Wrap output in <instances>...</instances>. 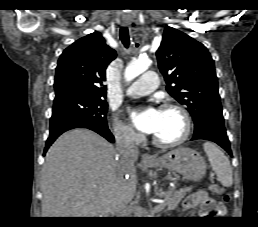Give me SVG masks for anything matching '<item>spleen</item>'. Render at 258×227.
I'll list each match as a JSON object with an SVG mask.
<instances>
[{
	"label": "spleen",
	"mask_w": 258,
	"mask_h": 227,
	"mask_svg": "<svg viewBox=\"0 0 258 227\" xmlns=\"http://www.w3.org/2000/svg\"><path fill=\"white\" fill-rule=\"evenodd\" d=\"M204 151L210 162V166L216 173L218 180L224 187H230L233 184L232 167L229 159L213 143L205 142Z\"/></svg>",
	"instance_id": "spleen-1"
}]
</instances>
